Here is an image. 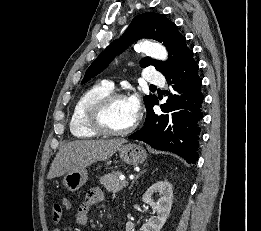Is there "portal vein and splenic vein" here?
Masks as SVG:
<instances>
[{
	"label": "portal vein and splenic vein",
	"instance_id": "obj_1",
	"mask_svg": "<svg viewBox=\"0 0 261 231\" xmlns=\"http://www.w3.org/2000/svg\"><path fill=\"white\" fill-rule=\"evenodd\" d=\"M120 179L123 181V184H124V185H127V184H128V182L125 180L124 177H120Z\"/></svg>",
	"mask_w": 261,
	"mask_h": 231
}]
</instances>
